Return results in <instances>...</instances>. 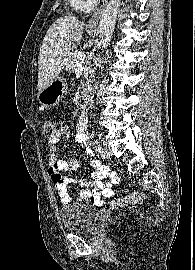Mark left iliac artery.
I'll use <instances>...</instances> for the list:
<instances>
[{
	"label": "left iliac artery",
	"mask_w": 195,
	"mask_h": 270,
	"mask_svg": "<svg viewBox=\"0 0 195 270\" xmlns=\"http://www.w3.org/2000/svg\"><path fill=\"white\" fill-rule=\"evenodd\" d=\"M97 143V142H96ZM97 150L100 152L101 151V146L98 144L97 145Z\"/></svg>",
	"instance_id": "obj_1"
}]
</instances>
